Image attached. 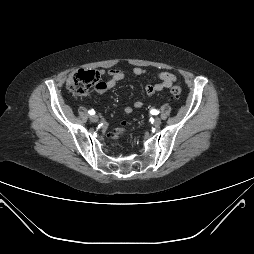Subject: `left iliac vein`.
Wrapping results in <instances>:
<instances>
[{
    "mask_svg": "<svg viewBox=\"0 0 254 254\" xmlns=\"http://www.w3.org/2000/svg\"><path fill=\"white\" fill-rule=\"evenodd\" d=\"M160 124H161V119L159 117H156L154 119V126L158 127V126H160Z\"/></svg>",
    "mask_w": 254,
    "mask_h": 254,
    "instance_id": "1",
    "label": "left iliac vein"
}]
</instances>
